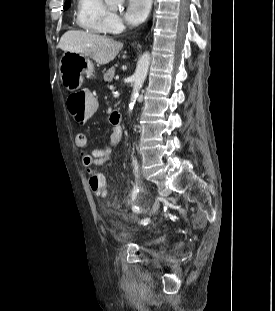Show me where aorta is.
<instances>
[{
  "label": "aorta",
  "instance_id": "aorta-1",
  "mask_svg": "<svg viewBox=\"0 0 275 311\" xmlns=\"http://www.w3.org/2000/svg\"><path fill=\"white\" fill-rule=\"evenodd\" d=\"M124 1L125 0H105V2L111 6H120L124 3ZM150 60H151L150 53L145 52L140 57V59L137 63V67H136L135 73L133 75L134 85H133V91L131 94V100H130V104H129L130 110L133 109V106H134L136 99L139 95V91L142 88L143 83L146 79L148 68L150 65Z\"/></svg>",
  "mask_w": 275,
  "mask_h": 311
}]
</instances>
